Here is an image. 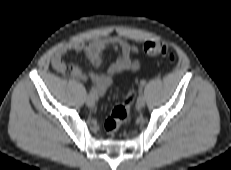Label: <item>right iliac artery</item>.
Masks as SVG:
<instances>
[{
  "mask_svg": "<svg viewBox=\"0 0 231 170\" xmlns=\"http://www.w3.org/2000/svg\"><path fill=\"white\" fill-rule=\"evenodd\" d=\"M89 95H90L91 97H93L94 99H97V97L93 94L92 91H90Z\"/></svg>",
  "mask_w": 231,
  "mask_h": 170,
  "instance_id": "obj_1",
  "label": "right iliac artery"
}]
</instances>
